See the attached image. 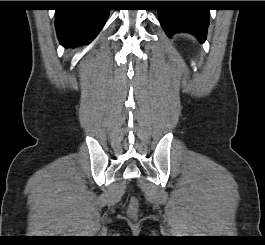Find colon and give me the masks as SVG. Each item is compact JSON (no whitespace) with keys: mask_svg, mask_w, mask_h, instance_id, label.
Segmentation results:
<instances>
[{"mask_svg":"<svg viewBox=\"0 0 265 245\" xmlns=\"http://www.w3.org/2000/svg\"><path fill=\"white\" fill-rule=\"evenodd\" d=\"M138 203L135 199H133L129 205L128 214L130 217H135L137 214Z\"/></svg>","mask_w":265,"mask_h":245,"instance_id":"5ec220e1","label":"colon"}]
</instances>
